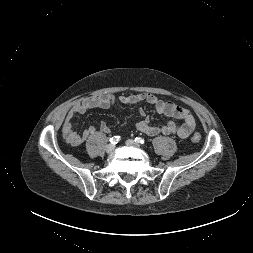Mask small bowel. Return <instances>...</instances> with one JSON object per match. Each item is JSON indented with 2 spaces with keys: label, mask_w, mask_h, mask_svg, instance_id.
<instances>
[{
  "label": "small bowel",
  "mask_w": 253,
  "mask_h": 253,
  "mask_svg": "<svg viewBox=\"0 0 253 253\" xmlns=\"http://www.w3.org/2000/svg\"><path fill=\"white\" fill-rule=\"evenodd\" d=\"M118 100L126 105L147 102L153 105L158 113L169 118L183 120V123L180 125L176 124L173 120H168L162 126H154L150 124L149 118L146 116V111L143 108H140L139 113L143 119L137 123L136 127L140 132L148 136L163 134L177 135L180 138H187L195 129L194 116L188 109L182 108L173 102L159 99L153 94L138 93L120 95ZM115 102L116 98L111 94L90 96L76 101L67 113L62 126V134L65 141L72 146H79L96 132L94 126L87 127L81 133L76 132L73 127V120L77 114L85 113L87 110L97 107L107 109L112 107ZM100 129L104 133L110 132V128L104 122L101 123Z\"/></svg>",
  "instance_id": "obj_1"
}]
</instances>
